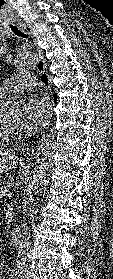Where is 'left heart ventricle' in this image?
<instances>
[{
    "label": "left heart ventricle",
    "instance_id": "left-heart-ventricle-1",
    "mask_svg": "<svg viewBox=\"0 0 113 279\" xmlns=\"http://www.w3.org/2000/svg\"><path fill=\"white\" fill-rule=\"evenodd\" d=\"M22 110L18 106H11L9 110L8 123L16 128L21 129Z\"/></svg>",
    "mask_w": 113,
    "mask_h": 279
}]
</instances>
